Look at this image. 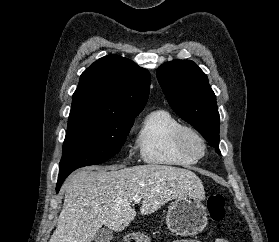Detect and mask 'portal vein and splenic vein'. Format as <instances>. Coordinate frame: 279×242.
Instances as JSON below:
<instances>
[{"label":"portal vein and splenic vein","instance_id":"18ae733b","mask_svg":"<svg viewBox=\"0 0 279 242\" xmlns=\"http://www.w3.org/2000/svg\"><path fill=\"white\" fill-rule=\"evenodd\" d=\"M141 201V197H139V196H134L133 197V202L134 203H139Z\"/></svg>","mask_w":279,"mask_h":242}]
</instances>
